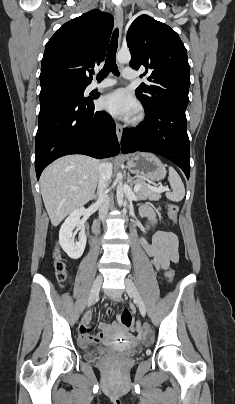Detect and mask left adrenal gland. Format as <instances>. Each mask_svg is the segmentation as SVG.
<instances>
[{
	"label": "left adrenal gland",
	"mask_w": 235,
	"mask_h": 404,
	"mask_svg": "<svg viewBox=\"0 0 235 404\" xmlns=\"http://www.w3.org/2000/svg\"><path fill=\"white\" fill-rule=\"evenodd\" d=\"M127 182H128L131 186H133V180H132V178L130 177V174H129V173L127 174Z\"/></svg>",
	"instance_id": "1"
}]
</instances>
